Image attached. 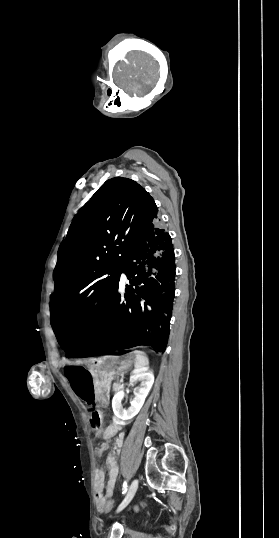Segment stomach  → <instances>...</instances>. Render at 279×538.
<instances>
[{
    "label": "stomach",
    "mask_w": 279,
    "mask_h": 538,
    "mask_svg": "<svg viewBox=\"0 0 279 538\" xmlns=\"http://www.w3.org/2000/svg\"><path fill=\"white\" fill-rule=\"evenodd\" d=\"M133 364L132 353H102L99 360V367L96 369V376L99 378L95 397L101 408L108 406L110 398L109 382L116 378L117 374L123 370H129Z\"/></svg>",
    "instance_id": "obj_1"
}]
</instances>
